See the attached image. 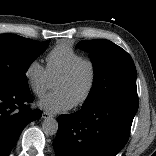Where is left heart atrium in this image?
Returning <instances> with one entry per match:
<instances>
[{
  "mask_svg": "<svg viewBox=\"0 0 156 156\" xmlns=\"http://www.w3.org/2000/svg\"><path fill=\"white\" fill-rule=\"evenodd\" d=\"M39 105L49 113L55 114L71 109L73 103L64 93L55 91L46 95Z\"/></svg>",
  "mask_w": 156,
  "mask_h": 156,
  "instance_id": "obj_1",
  "label": "left heart atrium"
}]
</instances>
